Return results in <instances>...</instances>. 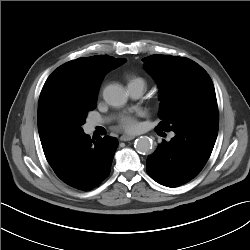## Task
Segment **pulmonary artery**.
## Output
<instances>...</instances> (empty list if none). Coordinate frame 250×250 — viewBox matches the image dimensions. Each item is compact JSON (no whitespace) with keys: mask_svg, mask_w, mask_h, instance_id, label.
Listing matches in <instances>:
<instances>
[{"mask_svg":"<svg viewBox=\"0 0 250 250\" xmlns=\"http://www.w3.org/2000/svg\"><path fill=\"white\" fill-rule=\"evenodd\" d=\"M144 83L141 81H134V82H129L127 85V91L129 93V95L132 98H139L142 96V94L144 93ZM103 123V121H96V120H91L88 123V126L90 129H94L97 126L101 125ZM173 133L170 134V137H173Z\"/></svg>","mask_w":250,"mask_h":250,"instance_id":"e3ab8cb5","label":"pulmonary artery"}]
</instances>
